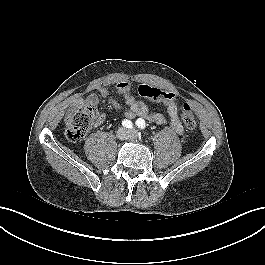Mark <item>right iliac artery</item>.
<instances>
[{
    "label": "right iliac artery",
    "instance_id": "1",
    "mask_svg": "<svg viewBox=\"0 0 265 265\" xmlns=\"http://www.w3.org/2000/svg\"><path fill=\"white\" fill-rule=\"evenodd\" d=\"M122 125L128 129L133 128V123L127 119L122 121Z\"/></svg>",
    "mask_w": 265,
    "mask_h": 265
}]
</instances>
